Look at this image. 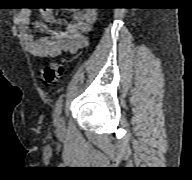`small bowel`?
Here are the masks:
<instances>
[{"label":"small bowel","instance_id":"c3829d8e","mask_svg":"<svg viewBox=\"0 0 192 180\" xmlns=\"http://www.w3.org/2000/svg\"><path fill=\"white\" fill-rule=\"evenodd\" d=\"M30 16L28 9H22L18 14V21L29 53L40 58L73 54L85 48L88 45L87 35L96 20V12L92 9L76 11L64 30L55 29L51 25L65 22L56 18L49 8H43L40 10L42 21L33 23V26L38 32L47 33V36L38 38L29 31Z\"/></svg>","mask_w":192,"mask_h":180}]
</instances>
